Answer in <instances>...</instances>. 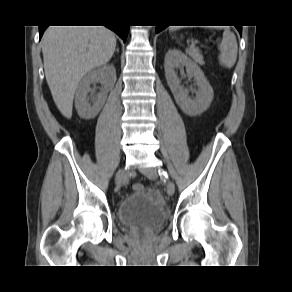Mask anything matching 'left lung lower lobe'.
Wrapping results in <instances>:
<instances>
[{"label":"left lung lower lobe","mask_w":292,"mask_h":292,"mask_svg":"<svg viewBox=\"0 0 292 292\" xmlns=\"http://www.w3.org/2000/svg\"><path fill=\"white\" fill-rule=\"evenodd\" d=\"M167 26H165V25H157L156 26V33H159L160 31H162L163 29H165ZM236 28H237V30L239 31V33L241 34L242 33V26H239V27H237L236 26Z\"/></svg>","instance_id":"0a47b994"}]
</instances>
